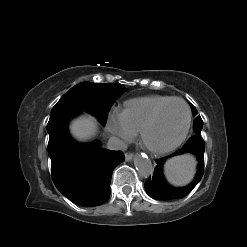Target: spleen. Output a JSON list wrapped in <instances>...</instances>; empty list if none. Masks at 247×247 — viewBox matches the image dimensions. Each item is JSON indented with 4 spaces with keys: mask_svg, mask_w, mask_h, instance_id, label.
Returning <instances> with one entry per match:
<instances>
[{
    "mask_svg": "<svg viewBox=\"0 0 247 247\" xmlns=\"http://www.w3.org/2000/svg\"><path fill=\"white\" fill-rule=\"evenodd\" d=\"M196 160L192 155H182L169 159L164 165L167 180L175 186L190 183L196 172Z\"/></svg>",
    "mask_w": 247,
    "mask_h": 247,
    "instance_id": "obj_1",
    "label": "spleen"
}]
</instances>
